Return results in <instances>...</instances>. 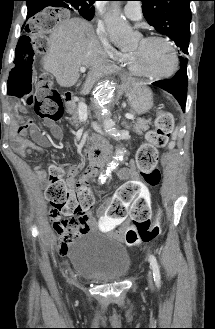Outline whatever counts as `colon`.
Masks as SVG:
<instances>
[{"label": "colon", "mask_w": 215, "mask_h": 329, "mask_svg": "<svg viewBox=\"0 0 215 329\" xmlns=\"http://www.w3.org/2000/svg\"><path fill=\"white\" fill-rule=\"evenodd\" d=\"M63 21H70V14L52 10L48 14H32V19H28V25H24L25 37L17 38L18 55L13 56V61H7L10 73H21L12 74V81H9V86L5 88L13 109L18 107L17 103H28L33 106L40 118L51 121L60 119L61 98L59 92L51 87L52 76L34 74L33 63L45 48L43 38H52L55 26H63ZM31 81H35L34 89ZM173 127V114L168 110H160L155 128L146 134V143L141 145L137 152L138 169L145 183L152 188L158 187L161 180L157 167L158 149L167 144ZM49 181L46 197L51 204V210L60 216L58 223L53 226L61 233L86 217L94 203V196L85 181L71 185L59 164L50 167ZM148 201L150 203V199ZM157 211L162 213L164 208L159 206ZM150 219L132 218V225L125 230L126 238L142 242L157 238L161 233V225L157 223L151 226ZM155 219L165 221L166 216L156 214Z\"/></svg>", "instance_id": "5ec220e1"}]
</instances>
